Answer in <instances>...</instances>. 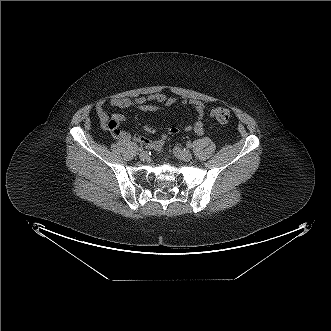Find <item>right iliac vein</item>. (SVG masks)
<instances>
[{"instance_id": "63e3f726", "label": "right iliac vein", "mask_w": 331, "mask_h": 331, "mask_svg": "<svg viewBox=\"0 0 331 331\" xmlns=\"http://www.w3.org/2000/svg\"><path fill=\"white\" fill-rule=\"evenodd\" d=\"M139 157H140V159H142V160H145V159H147V157H148V153H147V151H142V152H140L139 153Z\"/></svg>"}]
</instances>
